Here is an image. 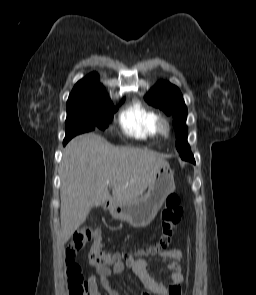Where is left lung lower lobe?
Masks as SVG:
<instances>
[{"mask_svg": "<svg viewBox=\"0 0 256 295\" xmlns=\"http://www.w3.org/2000/svg\"><path fill=\"white\" fill-rule=\"evenodd\" d=\"M186 158L188 161H191L193 163H195V160H194V157H193V154L191 152H189L187 155H186Z\"/></svg>", "mask_w": 256, "mask_h": 295, "instance_id": "obj_1", "label": "left lung lower lobe"}]
</instances>
